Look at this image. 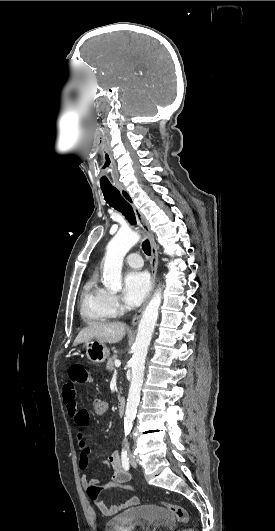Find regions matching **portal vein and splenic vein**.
I'll list each match as a JSON object with an SVG mask.
<instances>
[{"label": "portal vein and splenic vein", "instance_id": "obj_1", "mask_svg": "<svg viewBox=\"0 0 275 531\" xmlns=\"http://www.w3.org/2000/svg\"><path fill=\"white\" fill-rule=\"evenodd\" d=\"M121 363L120 361H115V367H120Z\"/></svg>", "mask_w": 275, "mask_h": 531}]
</instances>
